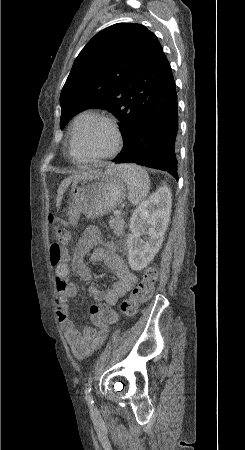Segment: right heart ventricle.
Segmentation results:
<instances>
[{
  "label": "right heart ventricle",
  "mask_w": 245,
  "mask_h": 450,
  "mask_svg": "<svg viewBox=\"0 0 245 450\" xmlns=\"http://www.w3.org/2000/svg\"><path fill=\"white\" fill-rule=\"evenodd\" d=\"M94 115H95V114H94L93 112L86 111V112L81 113V114L76 118V120H84V119H88V118H90V117H92V116H94ZM69 152H70V154H71V156H72L73 159H75V160H77V161L80 160V159L76 158L75 155L71 152L70 146H69Z\"/></svg>",
  "instance_id": "1"
}]
</instances>
